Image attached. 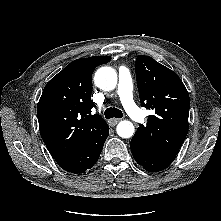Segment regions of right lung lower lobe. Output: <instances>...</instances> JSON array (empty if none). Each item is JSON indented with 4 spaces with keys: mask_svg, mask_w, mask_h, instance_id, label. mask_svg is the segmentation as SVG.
I'll return each mask as SVG.
<instances>
[{
    "mask_svg": "<svg viewBox=\"0 0 221 221\" xmlns=\"http://www.w3.org/2000/svg\"><path fill=\"white\" fill-rule=\"evenodd\" d=\"M109 135V126L106 124L96 134L91 136L82 146L57 162L58 165L71 173H83L90 169L98 160L104 142Z\"/></svg>",
    "mask_w": 221,
    "mask_h": 221,
    "instance_id": "obj_1",
    "label": "right lung lower lobe"
}]
</instances>
